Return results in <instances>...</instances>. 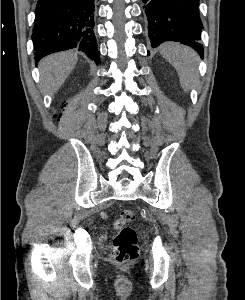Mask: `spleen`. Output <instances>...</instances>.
I'll return each instance as SVG.
<instances>
[{"mask_svg": "<svg viewBox=\"0 0 245 300\" xmlns=\"http://www.w3.org/2000/svg\"><path fill=\"white\" fill-rule=\"evenodd\" d=\"M161 55L167 59L176 69L180 83L184 91H188L197 78L196 53L177 43H167L160 49Z\"/></svg>", "mask_w": 245, "mask_h": 300, "instance_id": "1", "label": "spleen"}]
</instances>
